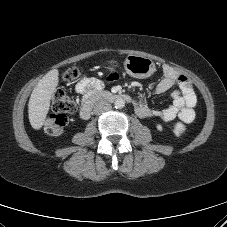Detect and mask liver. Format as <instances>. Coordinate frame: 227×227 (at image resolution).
<instances>
[{
  "mask_svg": "<svg viewBox=\"0 0 227 227\" xmlns=\"http://www.w3.org/2000/svg\"><path fill=\"white\" fill-rule=\"evenodd\" d=\"M59 82L57 69L49 71L34 87L28 103L29 121L35 130L41 129L49 112L50 101Z\"/></svg>",
  "mask_w": 227,
  "mask_h": 227,
  "instance_id": "obj_1",
  "label": "liver"
}]
</instances>
